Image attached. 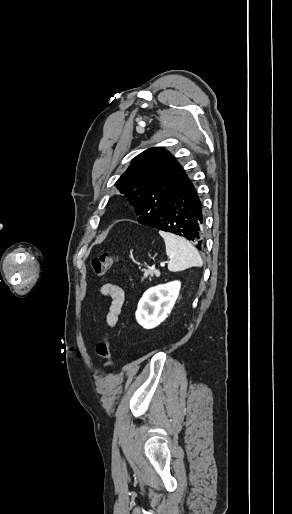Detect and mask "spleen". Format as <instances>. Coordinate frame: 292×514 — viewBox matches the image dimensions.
<instances>
[{
  "instance_id": "3e777b00",
  "label": "spleen",
  "mask_w": 292,
  "mask_h": 514,
  "mask_svg": "<svg viewBox=\"0 0 292 514\" xmlns=\"http://www.w3.org/2000/svg\"><path fill=\"white\" fill-rule=\"evenodd\" d=\"M159 234L165 242L166 254L170 258L168 264L170 272H182L192 266H199V268L202 266L200 254L188 240L169 232H159Z\"/></svg>"
}]
</instances>
